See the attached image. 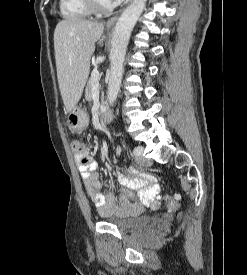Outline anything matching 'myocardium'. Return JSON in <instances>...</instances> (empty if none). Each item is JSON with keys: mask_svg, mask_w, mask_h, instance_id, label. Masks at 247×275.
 I'll list each match as a JSON object with an SVG mask.
<instances>
[{"mask_svg": "<svg viewBox=\"0 0 247 275\" xmlns=\"http://www.w3.org/2000/svg\"><path fill=\"white\" fill-rule=\"evenodd\" d=\"M84 2L87 5V7L90 9V11L96 14L107 13L114 8V5H111L108 7L102 6L98 0H84Z\"/></svg>", "mask_w": 247, "mask_h": 275, "instance_id": "f54148a6", "label": "myocardium"}]
</instances>
